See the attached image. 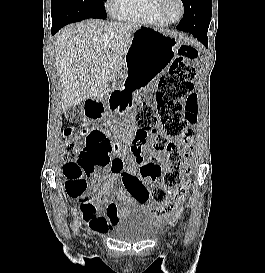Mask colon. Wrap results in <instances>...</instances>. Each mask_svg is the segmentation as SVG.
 Wrapping results in <instances>:
<instances>
[{"mask_svg":"<svg viewBox=\"0 0 265 273\" xmlns=\"http://www.w3.org/2000/svg\"><path fill=\"white\" fill-rule=\"evenodd\" d=\"M198 49L182 45L169 71L160 78L155 94V104L145 103L136 114L138 130L131 146L136 161H142V151L151 135V154L166 155L169 166L165 170L154 168L153 182L162 176L158 185L153 186L154 202L172 207L186 194L181 184L182 177L189 171L190 152L185 147L196 144L191 138V126L198 119V97L192 92L196 77L194 61ZM99 115V114H94ZM160 127L162 132H158ZM68 139L64 156L67 160L65 171L68 179L65 189L70 197H77L89 191L86 177L97 168L110 165L112 145L109 136L97 128H68L64 132ZM114 206L111 205V208Z\"/></svg>","mask_w":265,"mask_h":273,"instance_id":"1","label":"colon"}]
</instances>
